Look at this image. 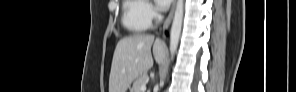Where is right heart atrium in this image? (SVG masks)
Returning a JSON list of instances; mask_svg holds the SVG:
<instances>
[{
    "label": "right heart atrium",
    "mask_w": 296,
    "mask_h": 92,
    "mask_svg": "<svg viewBox=\"0 0 296 92\" xmlns=\"http://www.w3.org/2000/svg\"><path fill=\"white\" fill-rule=\"evenodd\" d=\"M142 15L149 24L158 17L155 6L150 1H143Z\"/></svg>",
    "instance_id": "1"
}]
</instances>
